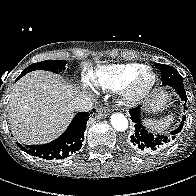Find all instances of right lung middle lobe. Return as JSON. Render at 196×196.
I'll return each mask as SVG.
<instances>
[{
  "mask_svg": "<svg viewBox=\"0 0 196 196\" xmlns=\"http://www.w3.org/2000/svg\"><path fill=\"white\" fill-rule=\"evenodd\" d=\"M66 63L65 60H45L39 63H33L25 68L19 76L22 77L26 73L34 70H48L54 73H59L60 71L65 70Z\"/></svg>",
  "mask_w": 196,
  "mask_h": 196,
  "instance_id": "1",
  "label": "right lung middle lobe"
}]
</instances>
